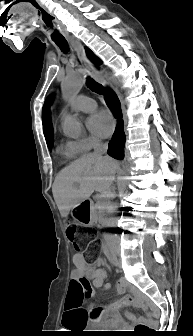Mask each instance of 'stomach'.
I'll return each mask as SVG.
<instances>
[{
  "mask_svg": "<svg viewBox=\"0 0 193 336\" xmlns=\"http://www.w3.org/2000/svg\"><path fill=\"white\" fill-rule=\"evenodd\" d=\"M71 214L75 220L84 226H91L95 222L92 206L87 200L76 204L72 208Z\"/></svg>",
  "mask_w": 193,
  "mask_h": 336,
  "instance_id": "stomach-1",
  "label": "stomach"
}]
</instances>
